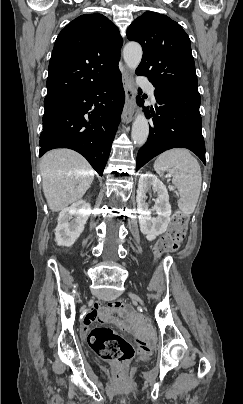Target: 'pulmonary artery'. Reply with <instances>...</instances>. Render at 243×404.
Returning a JSON list of instances; mask_svg holds the SVG:
<instances>
[{
	"label": "pulmonary artery",
	"instance_id": "pulmonary-artery-1",
	"mask_svg": "<svg viewBox=\"0 0 243 404\" xmlns=\"http://www.w3.org/2000/svg\"><path fill=\"white\" fill-rule=\"evenodd\" d=\"M144 88L149 95V98L152 102H155V87L152 83H147L144 85Z\"/></svg>",
	"mask_w": 243,
	"mask_h": 404
}]
</instances>
